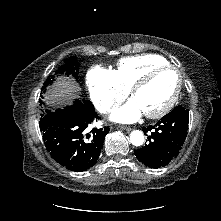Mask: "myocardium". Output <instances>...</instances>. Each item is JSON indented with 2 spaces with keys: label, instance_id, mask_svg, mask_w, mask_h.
<instances>
[{
  "label": "myocardium",
  "instance_id": "f54148a6",
  "mask_svg": "<svg viewBox=\"0 0 221 221\" xmlns=\"http://www.w3.org/2000/svg\"><path fill=\"white\" fill-rule=\"evenodd\" d=\"M165 70H172V71L176 72L177 77H178L177 87L175 89L174 94L170 98V100L162 108H160L159 110H157L155 112L144 113L147 118H150V119L161 118L164 115H166L168 112H170V110L175 106V104L177 103V101L179 99V96H180V93H181V90H182V86H183V76H182L181 71L177 67H175L173 65H170V64L159 65V66L152 67L148 71H146L134 83V85L130 89L131 96L134 97L135 94L141 88L146 86L157 73H159L161 71H165Z\"/></svg>",
  "mask_w": 221,
  "mask_h": 221
}]
</instances>
